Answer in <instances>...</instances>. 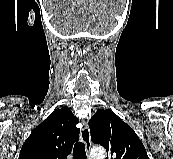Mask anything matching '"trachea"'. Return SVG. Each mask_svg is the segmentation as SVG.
<instances>
[{
	"label": "trachea",
	"instance_id": "obj_1",
	"mask_svg": "<svg viewBox=\"0 0 173 159\" xmlns=\"http://www.w3.org/2000/svg\"><path fill=\"white\" fill-rule=\"evenodd\" d=\"M73 159H86L85 145L82 142H77L73 148Z\"/></svg>",
	"mask_w": 173,
	"mask_h": 159
}]
</instances>
